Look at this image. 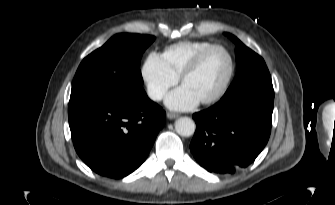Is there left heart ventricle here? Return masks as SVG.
Wrapping results in <instances>:
<instances>
[{"instance_id":"1","label":"left heart ventricle","mask_w":335,"mask_h":205,"mask_svg":"<svg viewBox=\"0 0 335 205\" xmlns=\"http://www.w3.org/2000/svg\"><path fill=\"white\" fill-rule=\"evenodd\" d=\"M230 63L226 53L220 49L211 51L199 69L183 83L198 99L215 94L229 72Z\"/></svg>"}]
</instances>
